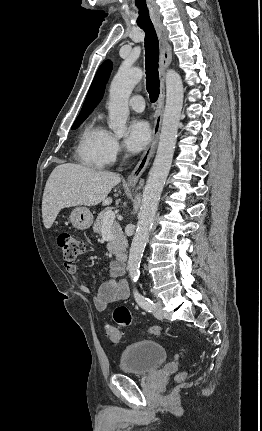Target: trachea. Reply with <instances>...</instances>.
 I'll use <instances>...</instances> for the list:
<instances>
[{"label":"trachea","mask_w":262,"mask_h":431,"mask_svg":"<svg viewBox=\"0 0 262 431\" xmlns=\"http://www.w3.org/2000/svg\"><path fill=\"white\" fill-rule=\"evenodd\" d=\"M136 9L139 14L148 11L145 0H135ZM145 32V66H146V88L150 101H157L159 96V41L154 26H140Z\"/></svg>","instance_id":"3493384b"}]
</instances>
